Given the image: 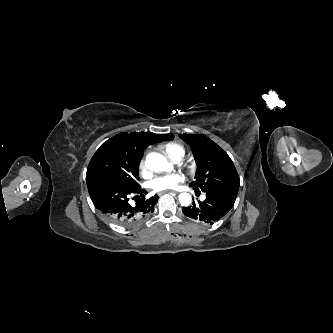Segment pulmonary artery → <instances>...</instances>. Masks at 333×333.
I'll return each instance as SVG.
<instances>
[{"label": "pulmonary artery", "mask_w": 333, "mask_h": 333, "mask_svg": "<svg viewBox=\"0 0 333 333\" xmlns=\"http://www.w3.org/2000/svg\"><path fill=\"white\" fill-rule=\"evenodd\" d=\"M182 158L181 157H176L175 159H173L174 162H179Z\"/></svg>", "instance_id": "pulmonary-artery-1"}]
</instances>
